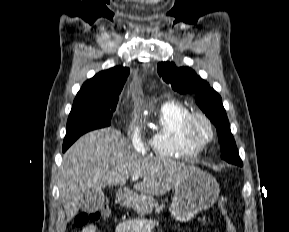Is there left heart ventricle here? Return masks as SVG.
<instances>
[{
	"label": "left heart ventricle",
	"instance_id": "1",
	"mask_svg": "<svg viewBox=\"0 0 289 232\" xmlns=\"http://www.w3.org/2000/svg\"><path fill=\"white\" fill-rule=\"evenodd\" d=\"M193 133L195 138L199 141L206 140L210 135L207 125L202 121H198L195 123Z\"/></svg>",
	"mask_w": 289,
	"mask_h": 232
}]
</instances>
